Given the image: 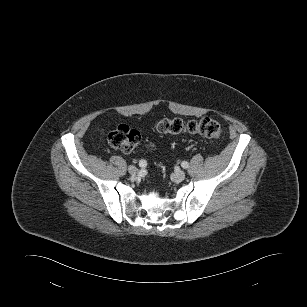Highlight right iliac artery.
Instances as JSON below:
<instances>
[{
  "label": "right iliac artery",
  "mask_w": 307,
  "mask_h": 307,
  "mask_svg": "<svg viewBox=\"0 0 307 307\" xmlns=\"http://www.w3.org/2000/svg\"><path fill=\"white\" fill-rule=\"evenodd\" d=\"M139 166H140L141 168H145V167L147 166L146 160H144V159L140 160V161H139Z\"/></svg>",
  "instance_id": "obj_1"
}]
</instances>
